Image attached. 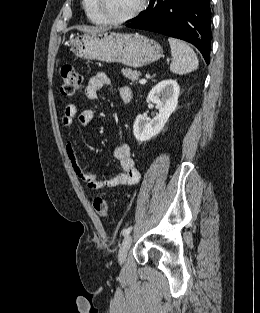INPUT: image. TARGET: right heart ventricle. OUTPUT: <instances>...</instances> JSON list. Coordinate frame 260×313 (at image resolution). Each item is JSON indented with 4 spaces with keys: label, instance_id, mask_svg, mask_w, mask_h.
Instances as JSON below:
<instances>
[{
    "label": "right heart ventricle",
    "instance_id": "obj_1",
    "mask_svg": "<svg viewBox=\"0 0 260 313\" xmlns=\"http://www.w3.org/2000/svg\"><path fill=\"white\" fill-rule=\"evenodd\" d=\"M82 7L88 20L95 25H105L106 23L101 19L97 13L94 5V0H82Z\"/></svg>",
    "mask_w": 260,
    "mask_h": 313
}]
</instances>
